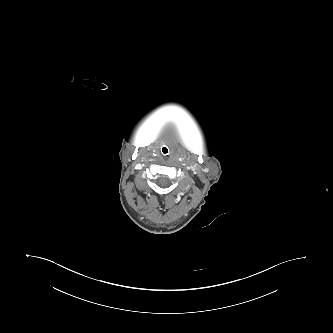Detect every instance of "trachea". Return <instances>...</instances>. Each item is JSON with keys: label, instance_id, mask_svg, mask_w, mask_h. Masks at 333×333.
I'll return each mask as SVG.
<instances>
[{"label": "trachea", "instance_id": "obj_1", "mask_svg": "<svg viewBox=\"0 0 333 333\" xmlns=\"http://www.w3.org/2000/svg\"><path fill=\"white\" fill-rule=\"evenodd\" d=\"M162 151H163L164 154L168 153V149L166 147H163Z\"/></svg>", "mask_w": 333, "mask_h": 333}]
</instances>
